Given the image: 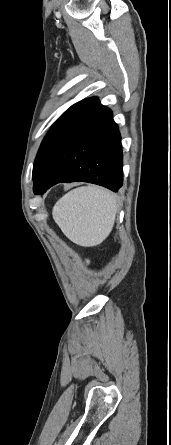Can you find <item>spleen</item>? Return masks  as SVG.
I'll list each match as a JSON object with an SVG mask.
<instances>
[{"label":"spleen","instance_id":"1","mask_svg":"<svg viewBox=\"0 0 171 445\" xmlns=\"http://www.w3.org/2000/svg\"><path fill=\"white\" fill-rule=\"evenodd\" d=\"M117 199L107 189L83 186L71 190L53 207L52 216L62 232L80 246H96L112 231Z\"/></svg>","mask_w":171,"mask_h":445}]
</instances>
